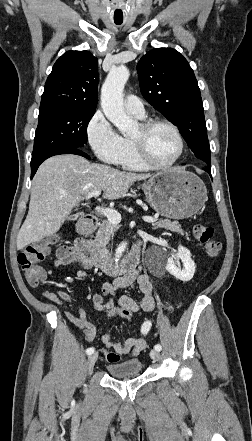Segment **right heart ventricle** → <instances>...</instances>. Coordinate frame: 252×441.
Masks as SVG:
<instances>
[{"mask_svg":"<svg viewBox=\"0 0 252 441\" xmlns=\"http://www.w3.org/2000/svg\"><path fill=\"white\" fill-rule=\"evenodd\" d=\"M125 151L122 155L119 165L130 171H146L148 168L139 160L133 142L130 138H124Z\"/></svg>","mask_w":252,"mask_h":441,"instance_id":"right-heart-ventricle-1","label":"right heart ventricle"}]
</instances>
